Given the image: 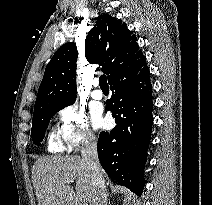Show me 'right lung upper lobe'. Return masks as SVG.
<instances>
[{
    "mask_svg": "<svg viewBox=\"0 0 212 205\" xmlns=\"http://www.w3.org/2000/svg\"><path fill=\"white\" fill-rule=\"evenodd\" d=\"M77 48L74 43L62 45L48 63L38 89L34 110L45 105H69L76 99ZM142 56L137 38L125 23L111 15L97 18L85 39V57L99 64L108 80L118 70Z\"/></svg>",
    "mask_w": 212,
    "mask_h": 205,
    "instance_id": "right-lung-upper-lobe-1",
    "label": "right lung upper lobe"
}]
</instances>
